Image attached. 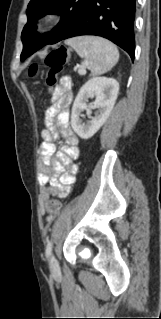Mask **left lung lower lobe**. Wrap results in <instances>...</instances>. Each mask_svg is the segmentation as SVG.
<instances>
[{
  "instance_id": "left-lung-lower-lobe-1",
  "label": "left lung lower lobe",
  "mask_w": 161,
  "mask_h": 319,
  "mask_svg": "<svg viewBox=\"0 0 161 319\" xmlns=\"http://www.w3.org/2000/svg\"><path fill=\"white\" fill-rule=\"evenodd\" d=\"M136 0H92L81 18L63 39L96 35L109 39L124 49L134 60V20ZM62 39V40H63ZM37 51L34 47L21 55L23 61Z\"/></svg>"
}]
</instances>
